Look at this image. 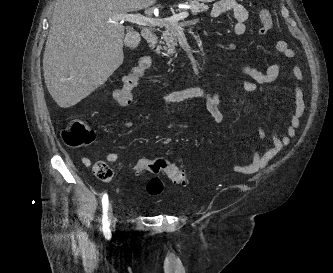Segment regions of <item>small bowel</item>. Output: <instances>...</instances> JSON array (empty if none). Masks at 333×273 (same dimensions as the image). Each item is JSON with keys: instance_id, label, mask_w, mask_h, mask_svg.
<instances>
[{"instance_id": "obj_1", "label": "small bowel", "mask_w": 333, "mask_h": 273, "mask_svg": "<svg viewBox=\"0 0 333 273\" xmlns=\"http://www.w3.org/2000/svg\"><path fill=\"white\" fill-rule=\"evenodd\" d=\"M227 13H232L234 16V22L231 26L232 32L235 35L245 34L247 32V20L250 15L249 10L240 2V0H218L213 4L211 10L212 18H220ZM276 49L287 59H293L296 56V52L290 48L288 43L284 40L277 41ZM140 59L148 58L141 57ZM150 68V62L133 63L131 70L128 71V76L124 79V84H120V88H117L114 92V98L120 107L126 108L132 105V91H138V79L143 77L144 73L147 72V69ZM238 69L245 77L234 78L226 86L217 90L208 91L198 86H190L165 92L160 96V100L168 104H177L187 100L200 99L204 102L206 110L212 117L213 121L220 124L224 121V115L220 109V96L224 88L234 86L247 93L261 94L263 92V86L273 82L280 75V66L278 64H272L265 70H261L249 64H239ZM291 77L293 82L294 106L288 121L286 132L282 136H279L273 130L272 147L263 154L254 152L253 163L249 166L240 167L242 171L252 173L265 168L294 138L296 131L300 126V121L305 109L304 95L300 87V82L303 79V72L299 66H292ZM123 125L125 127H130L131 123L124 122ZM257 131L260 138L265 137L262 127L258 126ZM117 160L118 154L116 152H110L106 156L107 163L112 164ZM82 163L85 166H90L92 161L88 157H83Z\"/></svg>"}]
</instances>
